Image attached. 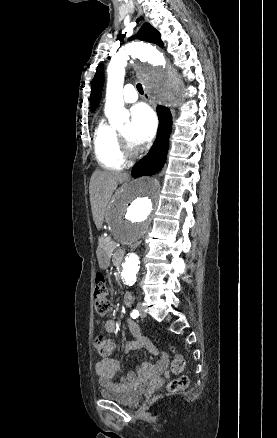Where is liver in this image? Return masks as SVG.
<instances>
[{"mask_svg":"<svg viewBox=\"0 0 277 438\" xmlns=\"http://www.w3.org/2000/svg\"><path fill=\"white\" fill-rule=\"evenodd\" d=\"M128 180V174L122 172H93L90 180V204L94 224L101 230L104 222L105 210L117 186Z\"/></svg>","mask_w":277,"mask_h":438,"instance_id":"liver-1","label":"liver"}]
</instances>
